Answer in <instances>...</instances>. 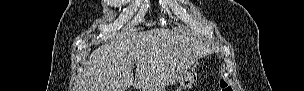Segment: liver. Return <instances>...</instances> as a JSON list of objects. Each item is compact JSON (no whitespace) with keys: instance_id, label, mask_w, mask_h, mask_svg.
<instances>
[{"instance_id":"liver-1","label":"liver","mask_w":304,"mask_h":91,"mask_svg":"<svg viewBox=\"0 0 304 91\" xmlns=\"http://www.w3.org/2000/svg\"><path fill=\"white\" fill-rule=\"evenodd\" d=\"M211 48L191 34L168 29L132 30L94 50L77 91H157L179 81ZM135 62V78L132 65Z\"/></svg>"}]
</instances>
